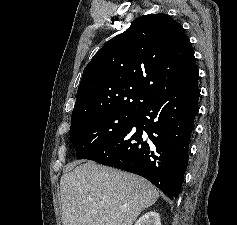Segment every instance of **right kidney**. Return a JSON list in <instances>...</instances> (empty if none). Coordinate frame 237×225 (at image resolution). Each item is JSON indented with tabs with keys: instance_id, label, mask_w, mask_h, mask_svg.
Instances as JSON below:
<instances>
[{
	"instance_id": "1",
	"label": "right kidney",
	"mask_w": 237,
	"mask_h": 225,
	"mask_svg": "<svg viewBox=\"0 0 237 225\" xmlns=\"http://www.w3.org/2000/svg\"><path fill=\"white\" fill-rule=\"evenodd\" d=\"M134 225H161L160 216L155 211L147 212Z\"/></svg>"
}]
</instances>
